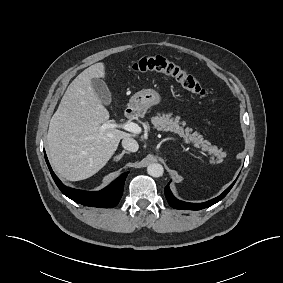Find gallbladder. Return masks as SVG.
Segmentation results:
<instances>
[{
  "mask_svg": "<svg viewBox=\"0 0 283 283\" xmlns=\"http://www.w3.org/2000/svg\"><path fill=\"white\" fill-rule=\"evenodd\" d=\"M92 87L103 105H110L111 93L106 83L101 79H92Z\"/></svg>",
  "mask_w": 283,
  "mask_h": 283,
  "instance_id": "obj_1",
  "label": "gallbladder"
}]
</instances>
